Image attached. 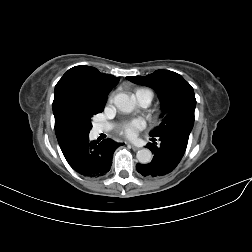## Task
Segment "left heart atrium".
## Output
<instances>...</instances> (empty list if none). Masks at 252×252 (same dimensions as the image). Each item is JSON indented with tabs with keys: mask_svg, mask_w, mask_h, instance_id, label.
Instances as JSON below:
<instances>
[{
	"mask_svg": "<svg viewBox=\"0 0 252 252\" xmlns=\"http://www.w3.org/2000/svg\"><path fill=\"white\" fill-rule=\"evenodd\" d=\"M145 126L144 120L135 118L118 124L117 131L127 138H134Z\"/></svg>",
	"mask_w": 252,
	"mask_h": 252,
	"instance_id": "left-heart-atrium-1",
	"label": "left heart atrium"
}]
</instances>
